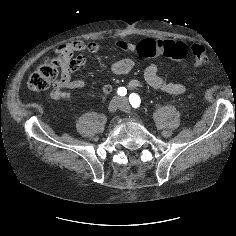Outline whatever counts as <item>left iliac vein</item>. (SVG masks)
Returning <instances> with one entry per match:
<instances>
[{"mask_svg": "<svg viewBox=\"0 0 236 236\" xmlns=\"http://www.w3.org/2000/svg\"><path fill=\"white\" fill-rule=\"evenodd\" d=\"M121 110L123 112H125L126 114H128L130 117H132L133 119H135L136 117L134 116V114L131 112V108L127 102V100L125 98L121 99Z\"/></svg>", "mask_w": 236, "mask_h": 236, "instance_id": "left-iliac-vein-1", "label": "left iliac vein"}]
</instances>
